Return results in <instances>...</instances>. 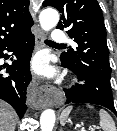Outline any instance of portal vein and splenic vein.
I'll list each match as a JSON object with an SVG mask.
<instances>
[{
    "label": "portal vein and splenic vein",
    "instance_id": "1",
    "mask_svg": "<svg viewBox=\"0 0 117 131\" xmlns=\"http://www.w3.org/2000/svg\"><path fill=\"white\" fill-rule=\"evenodd\" d=\"M89 130L94 131V128L90 127ZM82 131H85V130L82 128Z\"/></svg>",
    "mask_w": 117,
    "mask_h": 131
}]
</instances>
